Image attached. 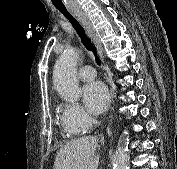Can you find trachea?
Masks as SVG:
<instances>
[{
	"label": "trachea",
	"mask_w": 177,
	"mask_h": 169,
	"mask_svg": "<svg viewBox=\"0 0 177 169\" xmlns=\"http://www.w3.org/2000/svg\"><path fill=\"white\" fill-rule=\"evenodd\" d=\"M57 9L71 22V24L73 25L77 34L81 38L83 45L86 47L87 50L92 52V54L95 57L96 63L98 65H100L101 61H100L99 57L97 56L96 47L91 42L89 37L86 35V33H85L83 27L80 25V23L67 11L66 7H57Z\"/></svg>",
	"instance_id": "3493384b"
}]
</instances>
